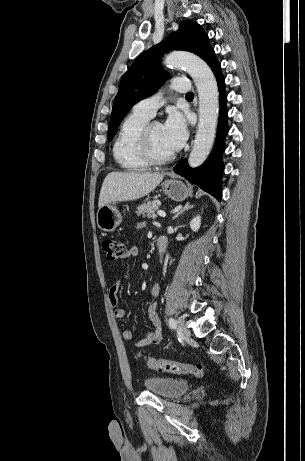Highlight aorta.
Instances as JSON below:
<instances>
[{
  "instance_id": "aorta-1",
  "label": "aorta",
  "mask_w": 305,
  "mask_h": 461,
  "mask_svg": "<svg viewBox=\"0 0 305 461\" xmlns=\"http://www.w3.org/2000/svg\"><path fill=\"white\" fill-rule=\"evenodd\" d=\"M171 68H185L194 80L199 97V123L194 145L188 158L191 168L200 166L212 149L215 139L219 93L210 67L198 56L185 52H173L165 58Z\"/></svg>"
}]
</instances>
